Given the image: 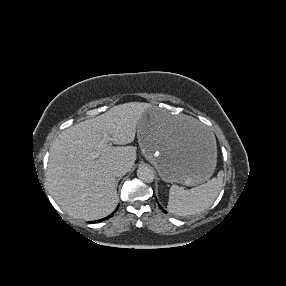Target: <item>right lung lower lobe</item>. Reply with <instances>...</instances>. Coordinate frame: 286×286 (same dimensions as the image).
<instances>
[{"label": "right lung lower lobe", "mask_w": 286, "mask_h": 286, "mask_svg": "<svg viewBox=\"0 0 286 286\" xmlns=\"http://www.w3.org/2000/svg\"><path fill=\"white\" fill-rule=\"evenodd\" d=\"M113 214H114V212H113L111 215H109L108 217L103 218V219L98 220V221H94V222H101V221H103V220H106V219L110 218ZM94 222H93V223H94Z\"/></svg>", "instance_id": "obj_1"}]
</instances>
